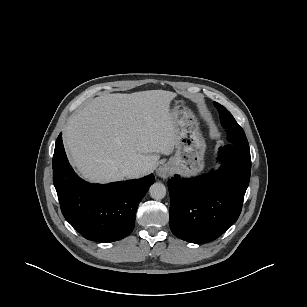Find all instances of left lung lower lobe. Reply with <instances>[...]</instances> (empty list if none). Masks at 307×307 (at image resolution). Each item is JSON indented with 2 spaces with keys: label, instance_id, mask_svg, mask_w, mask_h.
<instances>
[{
  "label": "left lung lower lobe",
  "instance_id": "1",
  "mask_svg": "<svg viewBox=\"0 0 307 307\" xmlns=\"http://www.w3.org/2000/svg\"><path fill=\"white\" fill-rule=\"evenodd\" d=\"M221 168L193 178L168 180L169 222L178 238L206 243L222 235L238 219L251 174L250 150L228 144L219 148Z\"/></svg>",
  "mask_w": 307,
  "mask_h": 307
}]
</instances>
